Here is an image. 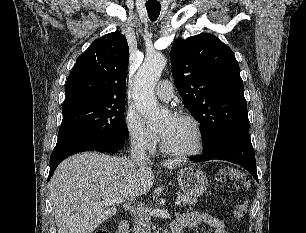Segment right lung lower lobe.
I'll use <instances>...</instances> for the list:
<instances>
[{
    "label": "right lung lower lobe",
    "instance_id": "obj_1",
    "mask_svg": "<svg viewBox=\"0 0 306 233\" xmlns=\"http://www.w3.org/2000/svg\"><path fill=\"white\" fill-rule=\"evenodd\" d=\"M124 139L84 138L55 148L50 156V171L48 181L56 167L70 155L83 151L115 152L124 146Z\"/></svg>",
    "mask_w": 306,
    "mask_h": 233
}]
</instances>
